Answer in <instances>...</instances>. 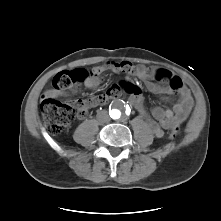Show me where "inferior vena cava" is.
Instances as JSON below:
<instances>
[{"mask_svg":"<svg viewBox=\"0 0 221 221\" xmlns=\"http://www.w3.org/2000/svg\"><path fill=\"white\" fill-rule=\"evenodd\" d=\"M97 119L100 121V122H103V123H107L110 121V117L109 115L107 114V112L105 111H101L97 114Z\"/></svg>","mask_w":221,"mask_h":221,"instance_id":"1","label":"inferior vena cava"}]
</instances>
